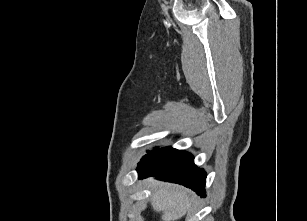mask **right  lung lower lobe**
Here are the masks:
<instances>
[{
  "label": "right lung lower lobe",
  "instance_id": "98d812e1",
  "mask_svg": "<svg viewBox=\"0 0 307 221\" xmlns=\"http://www.w3.org/2000/svg\"><path fill=\"white\" fill-rule=\"evenodd\" d=\"M139 177L154 176L192 188L205 197L206 173L197 168L193 156L185 151L165 147L146 154L138 163Z\"/></svg>",
  "mask_w": 307,
  "mask_h": 221
}]
</instances>
